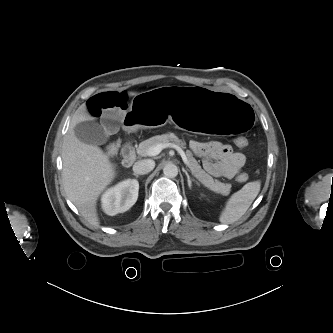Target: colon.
<instances>
[{
  "mask_svg": "<svg viewBox=\"0 0 333 333\" xmlns=\"http://www.w3.org/2000/svg\"><path fill=\"white\" fill-rule=\"evenodd\" d=\"M235 143L238 147H246L247 144H248V141L245 137H237L235 139ZM117 149H118V144L117 143H111L109 144L107 147H106V153L109 155V156H113L116 152H117ZM237 180L239 182H245L248 180V175L246 173H241L237 176Z\"/></svg>",
  "mask_w": 333,
  "mask_h": 333,
  "instance_id": "5ec220e1",
  "label": "colon"
}]
</instances>
